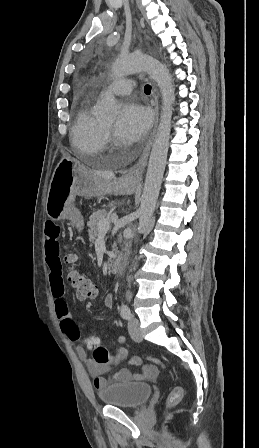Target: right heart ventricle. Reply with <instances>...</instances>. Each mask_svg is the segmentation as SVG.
Wrapping results in <instances>:
<instances>
[{
  "instance_id": "right-heart-ventricle-1",
  "label": "right heart ventricle",
  "mask_w": 259,
  "mask_h": 448,
  "mask_svg": "<svg viewBox=\"0 0 259 448\" xmlns=\"http://www.w3.org/2000/svg\"><path fill=\"white\" fill-rule=\"evenodd\" d=\"M92 104V95L80 100L72 128L74 145L85 152L81 163H94L92 157L106 149L104 123L93 115Z\"/></svg>"
}]
</instances>
